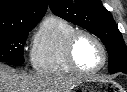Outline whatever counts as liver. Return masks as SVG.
I'll list each match as a JSON object with an SVG mask.
<instances>
[{
    "label": "liver",
    "mask_w": 127,
    "mask_h": 92,
    "mask_svg": "<svg viewBox=\"0 0 127 92\" xmlns=\"http://www.w3.org/2000/svg\"><path fill=\"white\" fill-rule=\"evenodd\" d=\"M86 77L28 75L0 64V92H70Z\"/></svg>",
    "instance_id": "obj_1"
}]
</instances>
